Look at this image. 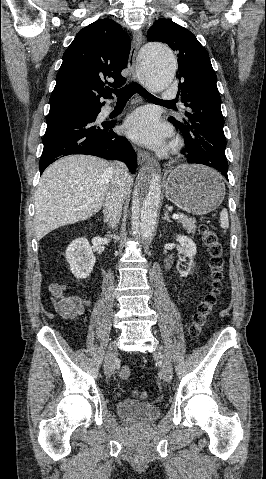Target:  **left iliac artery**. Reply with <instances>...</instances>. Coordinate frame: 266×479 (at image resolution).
<instances>
[{
	"label": "left iliac artery",
	"mask_w": 266,
	"mask_h": 479,
	"mask_svg": "<svg viewBox=\"0 0 266 479\" xmlns=\"http://www.w3.org/2000/svg\"><path fill=\"white\" fill-rule=\"evenodd\" d=\"M162 368L160 367L158 370H157V376H158V379L159 380H162L163 379V376H162Z\"/></svg>",
	"instance_id": "44dca946"
}]
</instances>
